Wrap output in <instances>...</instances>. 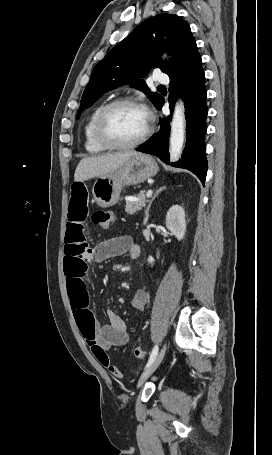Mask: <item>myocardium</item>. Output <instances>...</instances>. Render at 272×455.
Instances as JSON below:
<instances>
[{
  "label": "myocardium",
  "instance_id": "1",
  "mask_svg": "<svg viewBox=\"0 0 272 455\" xmlns=\"http://www.w3.org/2000/svg\"><path fill=\"white\" fill-rule=\"evenodd\" d=\"M124 105H129V106H134L137 108L142 109L147 117V123L144 132L141 134L139 138L136 140L129 142V143H117L113 140H111L105 130H104V121L107 117V115L115 108L119 106H124ZM152 130V124H151V116L147 109L141 104L138 100L131 98V97H122V98H117L115 100H112L111 102L107 103L104 105L99 112L97 113L94 122H93V135L95 140L97 141L98 144L101 146L105 147L106 149H111V150H126V149H132L135 147H138L142 143H144L147 138L149 137L150 133Z\"/></svg>",
  "mask_w": 272,
  "mask_h": 455
}]
</instances>
